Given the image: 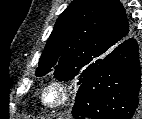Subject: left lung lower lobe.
<instances>
[{"instance_id": "obj_1", "label": "left lung lower lobe", "mask_w": 142, "mask_h": 119, "mask_svg": "<svg viewBox=\"0 0 142 119\" xmlns=\"http://www.w3.org/2000/svg\"><path fill=\"white\" fill-rule=\"evenodd\" d=\"M141 70L137 42L127 38L88 75L76 95V119H141Z\"/></svg>"}]
</instances>
